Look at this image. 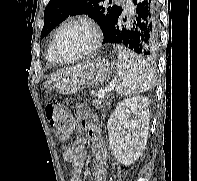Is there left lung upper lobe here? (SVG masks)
Segmentation results:
<instances>
[{
	"instance_id": "5c2ea615",
	"label": "left lung upper lobe",
	"mask_w": 197,
	"mask_h": 181,
	"mask_svg": "<svg viewBox=\"0 0 197 181\" xmlns=\"http://www.w3.org/2000/svg\"><path fill=\"white\" fill-rule=\"evenodd\" d=\"M105 0H50L44 11V26L41 32L43 38L50 33L57 25L69 16L86 14L94 19L101 27L103 35L107 34L108 27L118 18L123 9L104 3Z\"/></svg>"
}]
</instances>
